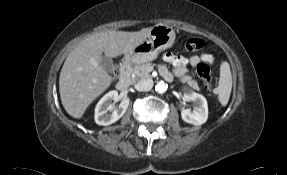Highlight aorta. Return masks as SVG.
<instances>
[{"mask_svg": "<svg viewBox=\"0 0 287 175\" xmlns=\"http://www.w3.org/2000/svg\"><path fill=\"white\" fill-rule=\"evenodd\" d=\"M167 88H168V85L166 83H164L163 81L158 82L155 86V90L158 93L166 92Z\"/></svg>", "mask_w": 287, "mask_h": 175, "instance_id": "1", "label": "aorta"}]
</instances>
